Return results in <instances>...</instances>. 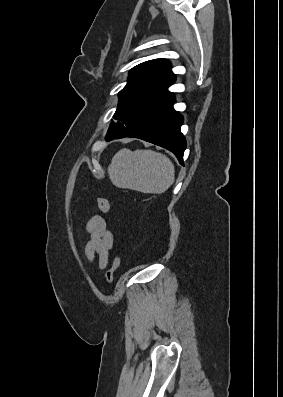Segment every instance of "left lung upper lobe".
Segmentation results:
<instances>
[{
  "mask_svg": "<svg viewBox=\"0 0 283 397\" xmlns=\"http://www.w3.org/2000/svg\"><path fill=\"white\" fill-rule=\"evenodd\" d=\"M175 82L171 64L166 59L143 62L130 71L127 85L119 92V104L106 138L122 133L148 110L169 98L168 87Z\"/></svg>",
  "mask_w": 283,
  "mask_h": 397,
  "instance_id": "obj_1",
  "label": "left lung upper lobe"
}]
</instances>
